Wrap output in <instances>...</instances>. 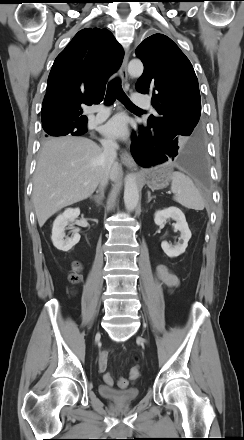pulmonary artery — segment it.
I'll use <instances>...</instances> for the list:
<instances>
[{
    "mask_svg": "<svg viewBox=\"0 0 244 440\" xmlns=\"http://www.w3.org/2000/svg\"><path fill=\"white\" fill-rule=\"evenodd\" d=\"M132 99L136 106L151 108L149 98L141 93H134ZM95 111L97 112L96 119L101 121L108 116L110 113V108L105 105H99L95 108Z\"/></svg>",
    "mask_w": 244,
    "mask_h": 440,
    "instance_id": "obj_1",
    "label": "pulmonary artery"
}]
</instances>
